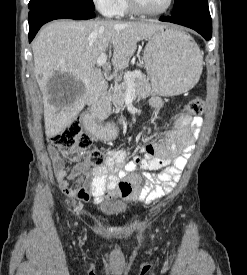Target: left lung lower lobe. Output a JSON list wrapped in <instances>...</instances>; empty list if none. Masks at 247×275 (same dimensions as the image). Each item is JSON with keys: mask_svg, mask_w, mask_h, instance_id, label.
Segmentation results:
<instances>
[{"mask_svg": "<svg viewBox=\"0 0 247 275\" xmlns=\"http://www.w3.org/2000/svg\"><path fill=\"white\" fill-rule=\"evenodd\" d=\"M161 21L172 22L194 29L207 41L212 36V21L209 10L199 11L179 17L160 18Z\"/></svg>", "mask_w": 247, "mask_h": 275, "instance_id": "0a47b994", "label": "left lung lower lobe"}]
</instances>
